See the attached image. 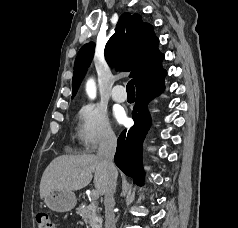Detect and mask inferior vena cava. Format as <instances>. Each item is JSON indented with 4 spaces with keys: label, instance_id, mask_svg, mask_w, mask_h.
Masks as SVG:
<instances>
[{
    "label": "inferior vena cava",
    "instance_id": "inferior-vena-cava-1",
    "mask_svg": "<svg viewBox=\"0 0 238 228\" xmlns=\"http://www.w3.org/2000/svg\"><path fill=\"white\" fill-rule=\"evenodd\" d=\"M116 136L109 132L105 135L99 145L97 155L103 159L107 166L109 178L105 191L104 205H105V228H116L114 216V192L117 182V170L113 163V158L116 151Z\"/></svg>",
    "mask_w": 238,
    "mask_h": 228
}]
</instances>
